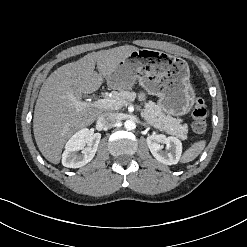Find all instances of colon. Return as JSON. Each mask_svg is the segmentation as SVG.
I'll return each mask as SVG.
<instances>
[{
    "instance_id": "colon-1",
    "label": "colon",
    "mask_w": 247,
    "mask_h": 247,
    "mask_svg": "<svg viewBox=\"0 0 247 247\" xmlns=\"http://www.w3.org/2000/svg\"><path fill=\"white\" fill-rule=\"evenodd\" d=\"M207 110L201 98H197L192 108V128L196 133H203L206 129Z\"/></svg>"
}]
</instances>
